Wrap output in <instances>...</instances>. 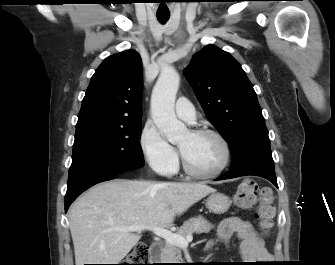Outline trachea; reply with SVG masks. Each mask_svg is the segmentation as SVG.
Listing matches in <instances>:
<instances>
[{"mask_svg":"<svg viewBox=\"0 0 335 265\" xmlns=\"http://www.w3.org/2000/svg\"><path fill=\"white\" fill-rule=\"evenodd\" d=\"M170 17V14H157V19L161 22V23H165Z\"/></svg>","mask_w":335,"mask_h":265,"instance_id":"3493384b","label":"trachea"}]
</instances>
